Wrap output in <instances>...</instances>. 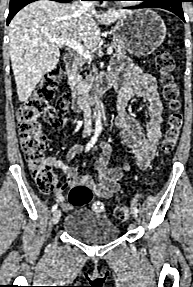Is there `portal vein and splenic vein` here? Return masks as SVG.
Returning a JSON list of instances; mask_svg holds the SVG:
<instances>
[{
    "label": "portal vein and splenic vein",
    "instance_id": "1",
    "mask_svg": "<svg viewBox=\"0 0 193 287\" xmlns=\"http://www.w3.org/2000/svg\"><path fill=\"white\" fill-rule=\"evenodd\" d=\"M49 40L50 42L56 43L57 45L67 46L80 53L86 59L91 60V53L81 43H78L73 38H50ZM112 52L113 48L109 47L107 49V53L112 54Z\"/></svg>",
    "mask_w": 193,
    "mask_h": 287
}]
</instances>
